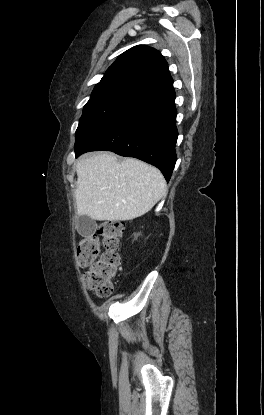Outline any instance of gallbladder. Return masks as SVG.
Instances as JSON below:
<instances>
[{
	"instance_id": "bac80fb5",
	"label": "gallbladder",
	"mask_w": 264,
	"mask_h": 415,
	"mask_svg": "<svg viewBox=\"0 0 264 415\" xmlns=\"http://www.w3.org/2000/svg\"><path fill=\"white\" fill-rule=\"evenodd\" d=\"M78 231L84 237L90 236L94 232V221L88 216H80Z\"/></svg>"
}]
</instances>
